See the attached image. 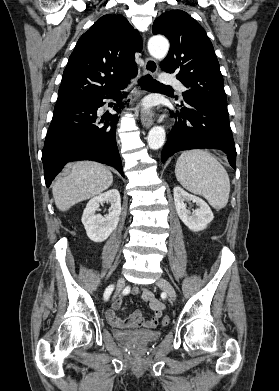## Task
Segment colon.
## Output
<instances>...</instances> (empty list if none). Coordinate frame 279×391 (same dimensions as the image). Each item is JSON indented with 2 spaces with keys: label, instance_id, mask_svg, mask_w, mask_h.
Masks as SVG:
<instances>
[{
  "label": "colon",
  "instance_id": "1",
  "mask_svg": "<svg viewBox=\"0 0 279 391\" xmlns=\"http://www.w3.org/2000/svg\"><path fill=\"white\" fill-rule=\"evenodd\" d=\"M168 323H169V318H168L167 316H164V317L162 318V324L166 325V324H168Z\"/></svg>",
  "mask_w": 279,
  "mask_h": 391
}]
</instances>
